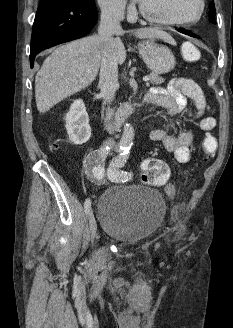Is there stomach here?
Wrapping results in <instances>:
<instances>
[{
    "mask_svg": "<svg viewBox=\"0 0 233 328\" xmlns=\"http://www.w3.org/2000/svg\"><path fill=\"white\" fill-rule=\"evenodd\" d=\"M138 50L147 66L157 74L170 72L176 64L171 50L153 38L139 42Z\"/></svg>",
    "mask_w": 233,
    "mask_h": 328,
    "instance_id": "obj_1",
    "label": "stomach"
}]
</instances>
